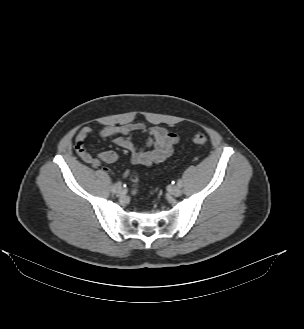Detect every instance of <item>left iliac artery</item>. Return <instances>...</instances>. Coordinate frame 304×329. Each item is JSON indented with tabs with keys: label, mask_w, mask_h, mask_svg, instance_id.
Instances as JSON below:
<instances>
[{
	"label": "left iliac artery",
	"mask_w": 304,
	"mask_h": 329,
	"mask_svg": "<svg viewBox=\"0 0 304 329\" xmlns=\"http://www.w3.org/2000/svg\"><path fill=\"white\" fill-rule=\"evenodd\" d=\"M177 185H178L179 187H182V181H181V179H178V180H177Z\"/></svg>",
	"instance_id": "44dca946"
}]
</instances>
